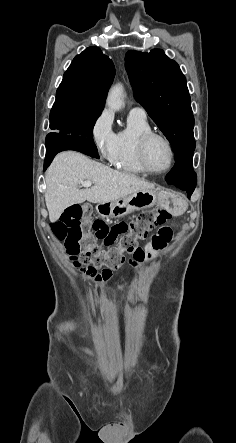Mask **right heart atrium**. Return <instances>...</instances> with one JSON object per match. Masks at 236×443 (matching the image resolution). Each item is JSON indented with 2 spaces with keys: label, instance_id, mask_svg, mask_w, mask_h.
<instances>
[{
  "label": "right heart atrium",
  "instance_id": "obj_1",
  "mask_svg": "<svg viewBox=\"0 0 236 443\" xmlns=\"http://www.w3.org/2000/svg\"><path fill=\"white\" fill-rule=\"evenodd\" d=\"M113 119L108 110H102L90 126V140L95 150L106 161L112 162L116 155V134Z\"/></svg>",
  "mask_w": 236,
  "mask_h": 443
}]
</instances>
